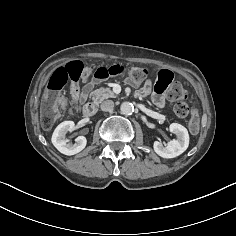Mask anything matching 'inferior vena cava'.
Listing matches in <instances>:
<instances>
[{
	"label": "inferior vena cava",
	"mask_w": 236,
	"mask_h": 236,
	"mask_svg": "<svg viewBox=\"0 0 236 236\" xmlns=\"http://www.w3.org/2000/svg\"><path fill=\"white\" fill-rule=\"evenodd\" d=\"M100 107L102 111H110L114 108V102L112 100H106L101 103Z\"/></svg>",
	"instance_id": "602c4592"
}]
</instances>
